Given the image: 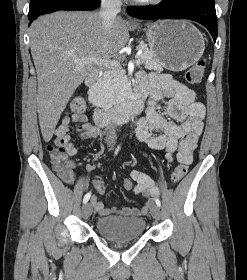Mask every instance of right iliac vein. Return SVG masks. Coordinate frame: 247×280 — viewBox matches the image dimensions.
I'll return each instance as SVG.
<instances>
[{"label": "right iliac vein", "mask_w": 247, "mask_h": 280, "mask_svg": "<svg viewBox=\"0 0 247 280\" xmlns=\"http://www.w3.org/2000/svg\"><path fill=\"white\" fill-rule=\"evenodd\" d=\"M92 213V207L90 203H86L82 208V214L85 218H88Z\"/></svg>", "instance_id": "obj_1"}]
</instances>
